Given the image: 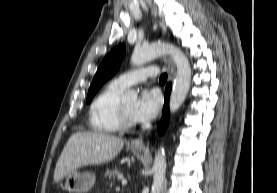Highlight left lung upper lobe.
Returning a JSON list of instances; mask_svg holds the SVG:
<instances>
[{"label": "left lung upper lobe", "instance_id": "left-lung-upper-lobe-1", "mask_svg": "<svg viewBox=\"0 0 277 193\" xmlns=\"http://www.w3.org/2000/svg\"><path fill=\"white\" fill-rule=\"evenodd\" d=\"M124 55L125 46L119 45L105 57L94 76L88 92L87 102H90L98 89L117 72Z\"/></svg>", "mask_w": 277, "mask_h": 193}]
</instances>
